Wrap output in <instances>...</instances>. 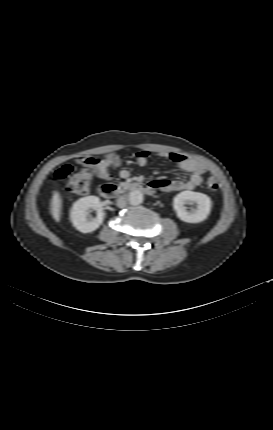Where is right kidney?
<instances>
[{"instance_id": "1", "label": "right kidney", "mask_w": 273, "mask_h": 430, "mask_svg": "<svg viewBox=\"0 0 273 430\" xmlns=\"http://www.w3.org/2000/svg\"><path fill=\"white\" fill-rule=\"evenodd\" d=\"M90 209L97 211L95 218L88 217ZM104 216L102 204L96 196H87L77 200L70 212L73 226L82 233H90L98 229L103 222Z\"/></svg>"}]
</instances>
